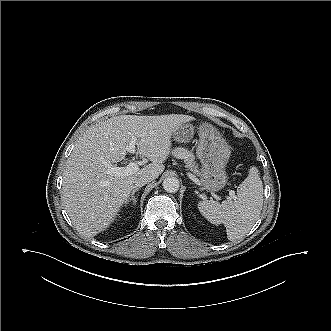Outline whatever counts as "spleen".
Segmentation results:
<instances>
[{"instance_id": "1", "label": "spleen", "mask_w": 331, "mask_h": 331, "mask_svg": "<svg viewBox=\"0 0 331 331\" xmlns=\"http://www.w3.org/2000/svg\"><path fill=\"white\" fill-rule=\"evenodd\" d=\"M263 184L255 171L238 186L237 196L221 204L214 200L198 203L200 213L212 224L223 223L230 240L244 236L250 230L258 216L263 198Z\"/></svg>"}]
</instances>
